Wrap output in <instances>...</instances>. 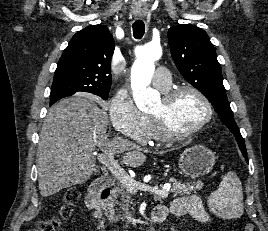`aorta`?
<instances>
[{"instance_id": "aorta-1", "label": "aorta", "mask_w": 268, "mask_h": 231, "mask_svg": "<svg viewBox=\"0 0 268 231\" xmlns=\"http://www.w3.org/2000/svg\"><path fill=\"white\" fill-rule=\"evenodd\" d=\"M161 55L162 49L159 44L148 43L139 50L131 68L133 98L141 111H147L159 97V92L149 85L154 74L155 61L159 60Z\"/></svg>"}]
</instances>
